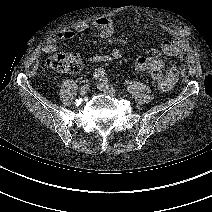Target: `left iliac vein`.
<instances>
[{
    "label": "left iliac vein",
    "mask_w": 212,
    "mask_h": 212,
    "mask_svg": "<svg viewBox=\"0 0 212 212\" xmlns=\"http://www.w3.org/2000/svg\"><path fill=\"white\" fill-rule=\"evenodd\" d=\"M98 88L102 91H104L105 93L111 94V95H117V91L115 90V88L107 83H104L102 81H100V83L98 84Z\"/></svg>",
    "instance_id": "1"
}]
</instances>
